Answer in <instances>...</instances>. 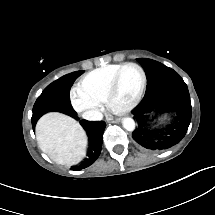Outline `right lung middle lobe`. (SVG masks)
I'll use <instances>...</instances> for the list:
<instances>
[{
    "label": "right lung middle lobe",
    "mask_w": 215,
    "mask_h": 215,
    "mask_svg": "<svg viewBox=\"0 0 215 215\" xmlns=\"http://www.w3.org/2000/svg\"><path fill=\"white\" fill-rule=\"evenodd\" d=\"M82 73L83 71L70 73L48 85L34 104L32 120H37L51 111L76 116L70 103L69 93L73 82Z\"/></svg>",
    "instance_id": "dd1d6c3e"
}]
</instances>
